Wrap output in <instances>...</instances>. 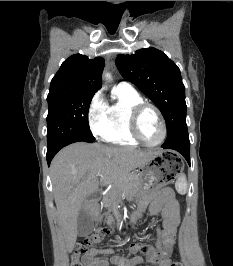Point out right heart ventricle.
Masks as SVG:
<instances>
[{
	"label": "right heart ventricle",
	"instance_id": "obj_1",
	"mask_svg": "<svg viewBox=\"0 0 233 266\" xmlns=\"http://www.w3.org/2000/svg\"><path fill=\"white\" fill-rule=\"evenodd\" d=\"M113 102L107 106L106 118L108 130L103 139L111 144L137 146L129 129V113L132 106L143 102L135 90L116 86L112 91Z\"/></svg>",
	"mask_w": 233,
	"mask_h": 266
}]
</instances>
